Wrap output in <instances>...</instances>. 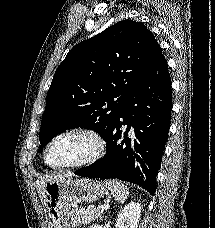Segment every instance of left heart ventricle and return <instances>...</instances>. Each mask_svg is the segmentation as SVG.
Here are the masks:
<instances>
[{"instance_id": "b2bd125f", "label": "left heart ventricle", "mask_w": 215, "mask_h": 228, "mask_svg": "<svg viewBox=\"0 0 215 228\" xmlns=\"http://www.w3.org/2000/svg\"><path fill=\"white\" fill-rule=\"evenodd\" d=\"M91 149L90 141L81 135H68L50 147L46 161L52 167L62 166L84 157Z\"/></svg>"}]
</instances>
